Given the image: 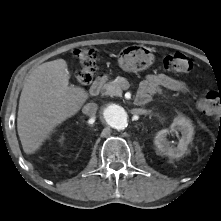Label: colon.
<instances>
[{
    "label": "colon",
    "instance_id": "colon-1",
    "mask_svg": "<svg viewBox=\"0 0 221 221\" xmlns=\"http://www.w3.org/2000/svg\"><path fill=\"white\" fill-rule=\"evenodd\" d=\"M75 58L80 64L76 79L80 84H89L94 76L99 53L94 48L77 49L74 52ZM163 68L176 73H188L192 69L189 58L182 53L167 55L163 60ZM199 108L208 114H221V93L209 91L199 100Z\"/></svg>",
    "mask_w": 221,
    "mask_h": 221
}]
</instances>
